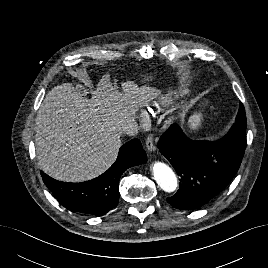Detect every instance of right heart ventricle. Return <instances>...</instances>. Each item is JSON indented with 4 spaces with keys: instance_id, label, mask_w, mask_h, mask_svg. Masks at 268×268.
<instances>
[{
    "instance_id": "right-heart-ventricle-1",
    "label": "right heart ventricle",
    "mask_w": 268,
    "mask_h": 268,
    "mask_svg": "<svg viewBox=\"0 0 268 268\" xmlns=\"http://www.w3.org/2000/svg\"><path fill=\"white\" fill-rule=\"evenodd\" d=\"M170 99H168V98H166V99H164V100H162V101H160V105L161 106H166V105H168L169 103H170ZM157 106H159V105H157Z\"/></svg>"
}]
</instances>
